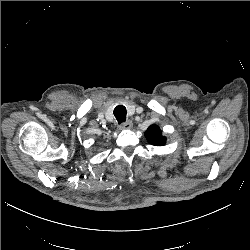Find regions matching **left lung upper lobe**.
Instances as JSON below:
<instances>
[{
  "mask_svg": "<svg viewBox=\"0 0 250 250\" xmlns=\"http://www.w3.org/2000/svg\"><path fill=\"white\" fill-rule=\"evenodd\" d=\"M145 137L148 143L161 146L166 143V138L162 136V131L157 125H151L145 132Z\"/></svg>",
  "mask_w": 250,
  "mask_h": 250,
  "instance_id": "1",
  "label": "left lung upper lobe"
}]
</instances>
